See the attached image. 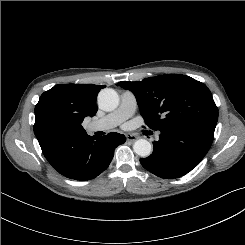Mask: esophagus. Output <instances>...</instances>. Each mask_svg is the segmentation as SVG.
Returning a JSON list of instances; mask_svg holds the SVG:
<instances>
[{"label":"esophagus","mask_w":245,"mask_h":245,"mask_svg":"<svg viewBox=\"0 0 245 245\" xmlns=\"http://www.w3.org/2000/svg\"><path fill=\"white\" fill-rule=\"evenodd\" d=\"M126 138H127L128 141L134 142V141L137 140L138 137L136 135H134V134L128 133V134H126Z\"/></svg>","instance_id":"esophagus-1"}]
</instances>
